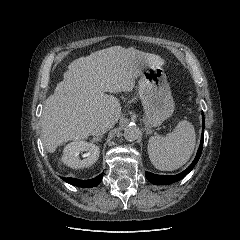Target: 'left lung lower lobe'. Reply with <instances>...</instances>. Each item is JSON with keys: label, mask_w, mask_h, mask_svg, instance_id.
<instances>
[{"label": "left lung lower lobe", "mask_w": 240, "mask_h": 240, "mask_svg": "<svg viewBox=\"0 0 240 240\" xmlns=\"http://www.w3.org/2000/svg\"><path fill=\"white\" fill-rule=\"evenodd\" d=\"M202 128L204 129L205 127V123H204V114L202 113ZM202 134H204V132H202ZM202 147H203V136H201V142H200V146L198 148L197 154L195 159L193 160V162L191 163V165L185 169L183 172L177 174V175H171V176H166V175H155L149 172L145 173L146 178L153 184L156 185H167V184H171L174 182H177L179 180H181L182 178H184L196 165V163L198 162L201 153H202Z\"/></svg>", "instance_id": "1"}]
</instances>
